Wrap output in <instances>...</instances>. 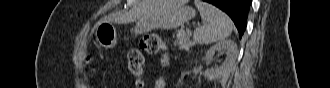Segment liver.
<instances>
[{"instance_id":"6515ba94","label":"liver","mask_w":330,"mask_h":88,"mask_svg":"<svg viewBox=\"0 0 330 88\" xmlns=\"http://www.w3.org/2000/svg\"><path fill=\"white\" fill-rule=\"evenodd\" d=\"M155 0H141L125 15H110L107 19H120L123 22H133L146 19L152 12Z\"/></svg>"}]
</instances>
